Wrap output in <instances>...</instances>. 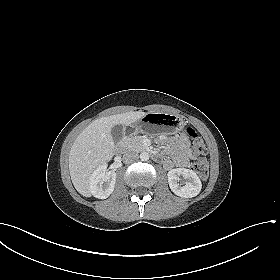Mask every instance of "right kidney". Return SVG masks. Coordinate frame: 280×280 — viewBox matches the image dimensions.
<instances>
[{
  "instance_id": "1",
  "label": "right kidney",
  "mask_w": 280,
  "mask_h": 280,
  "mask_svg": "<svg viewBox=\"0 0 280 280\" xmlns=\"http://www.w3.org/2000/svg\"><path fill=\"white\" fill-rule=\"evenodd\" d=\"M116 178V172L106 171L105 164L98 166L90 177L91 194L99 199L108 198L114 190Z\"/></svg>"
}]
</instances>
